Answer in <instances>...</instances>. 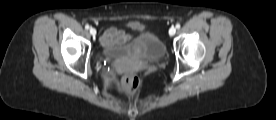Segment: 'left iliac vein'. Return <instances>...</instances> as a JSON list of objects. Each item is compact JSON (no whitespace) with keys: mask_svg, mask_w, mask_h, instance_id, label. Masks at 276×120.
I'll return each instance as SVG.
<instances>
[{"mask_svg":"<svg viewBox=\"0 0 276 120\" xmlns=\"http://www.w3.org/2000/svg\"><path fill=\"white\" fill-rule=\"evenodd\" d=\"M175 33H176L175 27H171V28L169 29V35L173 36Z\"/></svg>","mask_w":276,"mask_h":120,"instance_id":"1","label":"left iliac vein"}]
</instances>
